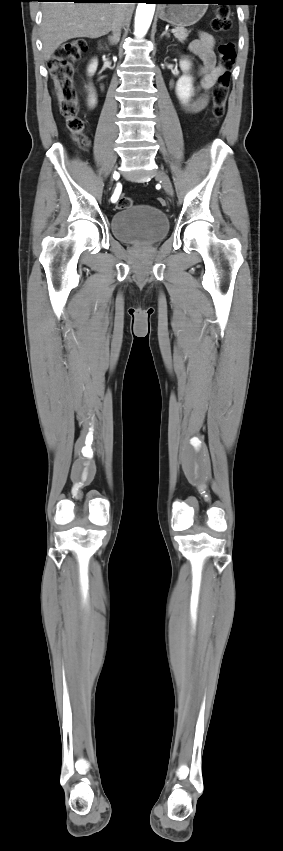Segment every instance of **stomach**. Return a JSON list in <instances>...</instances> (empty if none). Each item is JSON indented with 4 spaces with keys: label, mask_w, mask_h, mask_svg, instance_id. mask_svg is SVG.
I'll return each instance as SVG.
<instances>
[{
    "label": "stomach",
    "mask_w": 283,
    "mask_h": 851,
    "mask_svg": "<svg viewBox=\"0 0 283 851\" xmlns=\"http://www.w3.org/2000/svg\"><path fill=\"white\" fill-rule=\"evenodd\" d=\"M208 0H164L158 7L159 18L177 27L197 23L207 10Z\"/></svg>",
    "instance_id": "1"
}]
</instances>
